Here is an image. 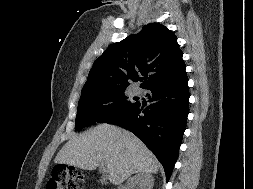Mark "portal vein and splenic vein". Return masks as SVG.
<instances>
[{"instance_id": "18ae733b", "label": "portal vein and splenic vein", "mask_w": 253, "mask_h": 189, "mask_svg": "<svg viewBox=\"0 0 253 189\" xmlns=\"http://www.w3.org/2000/svg\"><path fill=\"white\" fill-rule=\"evenodd\" d=\"M101 166H102V170L104 171V172H106V166H105V164H101Z\"/></svg>"}]
</instances>
